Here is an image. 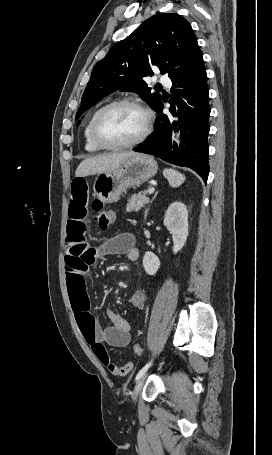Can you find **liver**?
I'll return each instance as SVG.
<instances>
[{
	"mask_svg": "<svg viewBox=\"0 0 272 455\" xmlns=\"http://www.w3.org/2000/svg\"><path fill=\"white\" fill-rule=\"evenodd\" d=\"M136 154L135 152L114 153L100 155L84 159L76 169V177H85L94 174L108 172L119 166L126 158Z\"/></svg>",
	"mask_w": 272,
	"mask_h": 455,
	"instance_id": "1",
	"label": "liver"
}]
</instances>
